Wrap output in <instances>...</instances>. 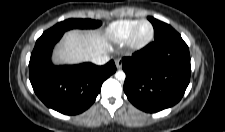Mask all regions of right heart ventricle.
<instances>
[{
  "label": "right heart ventricle",
  "mask_w": 225,
  "mask_h": 132,
  "mask_svg": "<svg viewBox=\"0 0 225 132\" xmlns=\"http://www.w3.org/2000/svg\"><path fill=\"white\" fill-rule=\"evenodd\" d=\"M135 19H122L112 22L104 31L105 38L113 43L126 41L133 27L137 24Z\"/></svg>",
  "instance_id": "right-heart-ventricle-1"
}]
</instances>
